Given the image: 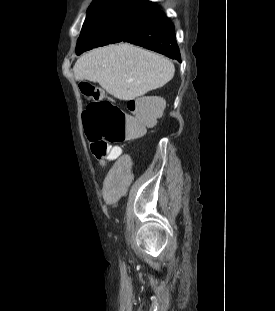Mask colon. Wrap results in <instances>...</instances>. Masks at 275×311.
<instances>
[{
    "mask_svg": "<svg viewBox=\"0 0 275 311\" xmlns=\"http://www.w3.org/2000/svg\"><path fill=\"white\" fill-rule=\"evenodd\" d=\"M81 91L93 101L83 112V124L91 150L97 159H111L118 155V145L143 135L145 127L151 126L160 113L148 100L130 101L126 113L110 101L101 98L100 91L83 83Z\"/></svg>",
    "mask_w": 275,
    "mask_h": 311,
    "instance_id": "1",
    "label": "colon"
}]
</instances>
